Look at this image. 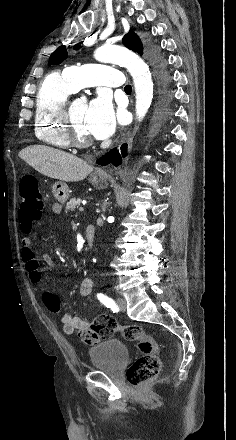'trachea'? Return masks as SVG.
I'll return each instance as SVG.
<instances>
[{"label":"trachea","mask_w":236,"mask_h":440,"mask_svg":"<svg viewBox=\"0 0 236 440\" xmlns=\"http://www.w3.org/2000/svg\"><path fill=\"white\" fill-rule=\"evenodd\" d=\"M131 90H132V87L130 85L125 86V91H131Z\"/></svg>","instance_id":"obj_1"}]
</instances>
